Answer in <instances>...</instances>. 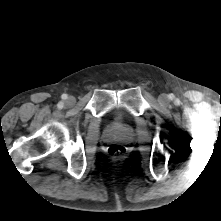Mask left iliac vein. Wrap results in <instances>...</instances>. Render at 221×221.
Listing matches in <instances>:
<instances>
[{
    "label": "left iliac vein",
    "instance_id": "obj_1",
    "mask_svg": "<svg viewBox=\"0 0 221 221\" xmlns=\"http://www.w3.org/2000/svg\"><path fill=\"white\" fill-rule=\"evenodd\" d=\"M158 101L161 103V104H166L168 103L169 99H168V96L166 94H161L158 98Z\"/></svg>",
    "mask_w": 221,
    "mask_h": 221
}]
</instances>
